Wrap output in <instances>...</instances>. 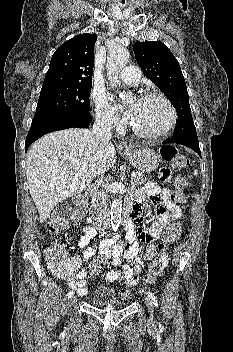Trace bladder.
Segmentation results:
<instances>
[{
	"mask_svg": "<svg viewBox=\"0 0 233 352\" xmlns=\"http://www.w3.org/2000/svg\"><path fill=\"white\" fill-rule=\"evenodd\" d=\"M91 303L93 306L101 308H121L126 304L125 299L119 295L116 289L107 286H100L94 291Z\"/></svg>",
	"mask_w": 233,
	"mask_h": 352,
	"instance_id": "31cf9c89",
	"label": "bladder"
}]
</instances>
